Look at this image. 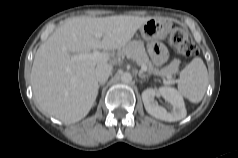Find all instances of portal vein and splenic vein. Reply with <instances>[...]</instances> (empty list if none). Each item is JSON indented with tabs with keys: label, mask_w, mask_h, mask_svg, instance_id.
<instances>
[{
	"label": "portal vein and splenic vein",
	"mask_w": 238,
	"mask_h": 158,
	"mask_svg": "<svg viewBox=\"0 0 238 158\" xmlns=\"http://www.w3.org/2000/svg\"><path fill=\"white\" fill-rule=\"evenodd\" d=\"M95 36L97 38H101L102 37V33H96ZM107 54H104V53H101L97 50H94L92 53H82V54H78V55H75L73 57L74 60H81V59H93V60H100V59H103V58H107ZM147 68L146 66H142L141 67V71H146Z\"/></svg>",
	"instance_id": "obj_1"
}]
</instances>
